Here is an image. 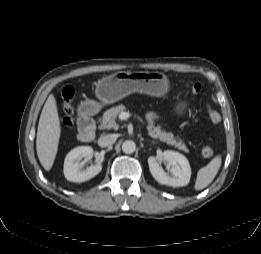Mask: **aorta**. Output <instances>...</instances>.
Listing matches in <instances>:
<instances>
[{"instance_id":"obj_1","label":"aorta","mask_w":261,"mask_h":254,"mask_svg":"<svg viewBox=\"0 0 261 254\" xmlns=\"http://www.w3.org/2000/svg\"><path fill=\"white\" fill-rule=\"evenodd\" d=\"M136 150V144L132 140H126L122 144V151L126 154H132Z\"/></svg>"}]
</instances>
